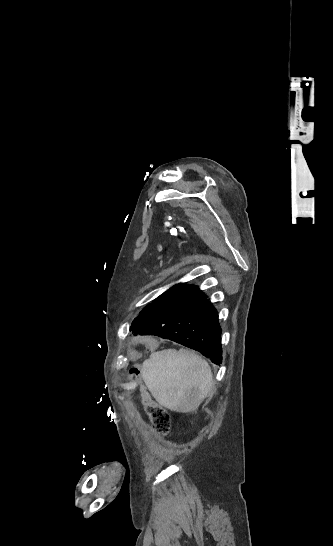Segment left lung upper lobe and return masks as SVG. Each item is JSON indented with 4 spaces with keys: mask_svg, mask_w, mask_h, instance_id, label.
<instances>
[{
    "mask_svg": "<svg viewBox=\"0 0 333 546\" xmlns=\"http://www.w3.org/2000/svg\"><path fill=\"white\" fill-rule=\"evenodd\" d=\"M187 288L188 285L180 283L160 295L134 319L136 326L138 328L142 327L160 308L177 299Z\"/></svg>",
    "mask_w": 333,
    "mask_h": 546,
    "instance_id": "left-lung-upper-lobe-1",
    "label": "left lung upper lobe"
}]
</instances>
